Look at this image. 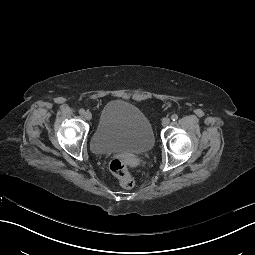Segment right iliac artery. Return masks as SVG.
Here are the masks:
<instances>
[{
    "mask_svg": "<svg viewBox=\"0 0 255 255\" xmlns=\"http://www.w3.org/2000/svg\"><path fill=\"white\" fill-rule=\"evenodd\" d=\"M79 113H80L81 115H83V114H85V110H84V109H80V110H79Z\"/></svg>",
    "mask_w": 255,
    "mask_h": 255,
    "instance_id": "1",
    "label": "right iliac artery"
}]
</instances>
